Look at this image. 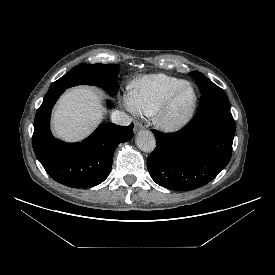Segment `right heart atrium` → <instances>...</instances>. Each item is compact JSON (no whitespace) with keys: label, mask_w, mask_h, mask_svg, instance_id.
Here are the masks:
<instances>
[{"label":"right heart atrium","mask_w":275,"mask_h":275,"mask_svg":"<svg viewBox=\"0 0 275 275\" xmlns=\"http://www.w3.org/2000/svg\"><path fill=\"white\" fill-rule=\"evenodd\" d=\"M123 103L124 106L131 112L137 113V109L135 107L134 101H133V96H132V91H128V93L124 96L123 98Z\"/></svg>","instance_id":"obj_1"}]
</instances>
